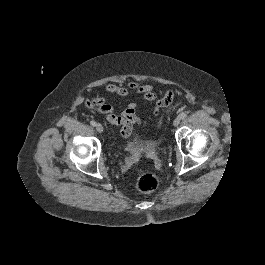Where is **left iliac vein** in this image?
I'll return each instance as SVG.
<instances>
[{
    "label": "left iliac vein",
    "mask_w": 265,
    "mask_h": 265,
    "mask_svg": "<svg viewBox=\"0 0 265 265\" xmlns=\"http://www.w3.org/2000/svg\"><path fill=\"white\" fill-rule=\"evenodd\" d=\"M179 123H180V118L177 117V118L173 121V126H174V127H177V126L179 125Z\"/></svg>",
    "instance_id": "left-iliac-vein-1"
}]
</instances>
